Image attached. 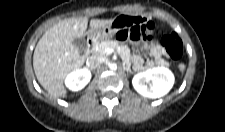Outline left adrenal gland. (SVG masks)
<instances>
[{
  "mask_svg": "<svg viewBox=\"0 0 225 132\" xmlns=\"http://www.w3.org/2000/svg\"><path fill=\"white\" fill-rule=\"evenodd\" d=\"M124 69L127 71V72H130V73H132V70L130 69V67L129 66H127V67H124Z\"/></svg>",
  "mask_w": 225,
  "mask_h": 132,
  "instance_id": "a2214340",
  "label": "left adrenal gland"
}]
</instances>
